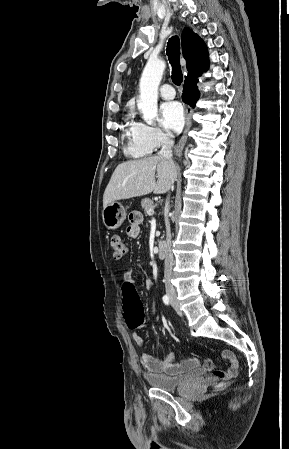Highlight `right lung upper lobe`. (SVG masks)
<instances>
[{
	"label": "right lung upper lobe",
	"instance_id": "1",
	"mask_svg": "<svg viewBox=\"0 0 289 449\" xmlns=\"http://www.w3.org/2000/svg\"><path fill=\"white\" fill-rule=\"evenodd\" d=\"M182 51L189 71L186 78H197L207 70L209 66L207 47L204 41L187 27L182 33Z\"/></svg>",
	"mask_w": 289,
	"mask_h": 449
}]
</instances>
